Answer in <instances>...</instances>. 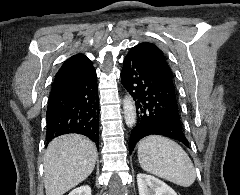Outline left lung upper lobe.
I'll list each match as a JSON object with an SVG mask.
<instances>
[{
  "label": "left lung upper lobe",
  "instance_id": "left-lung-upper-lobe-1",
  "mask_svg": "<svg viewBox=\"0 0 240 195\" xmlns=\"http://www.w3.org/2000/svg\"><path fill=\"white\" fill-rule=\"evenodd\" d=\"M127 56L142 60L156 72L173 82V73L163 55V52L152 43H141L134 46Z\"/></svg>",
  "mask_w": 240,
  "mask_h": 195
}]
</instances>
